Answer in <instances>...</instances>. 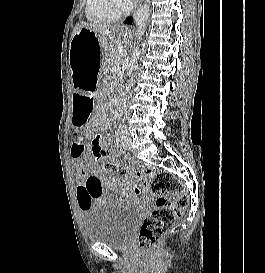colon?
Wrapping results in <instances>:
<instances>
[{"instance_id": "1", "label": "colon", "mask_w": 265, "mask_h": 273, "mask_svg": "<svg viewBox=\"0 0 265 273\" xmlns=\"http://www.w3.org/2000/svg\"><path fill=\"white\" fill-rule=\"evenodd\" d=\"M91 152L97 161L107 156L98 135L91 141ZM104 168L114 174L143 179L145 183L136 189L137 194H144L149 190L155 197V208L142 222L137 238L141 249L151 250L188 205L189 200L181 183L173 174L166 171H155L150 168L130 170L116 167L108 161L104 162Z\"/></svg>"}]
</instances>
